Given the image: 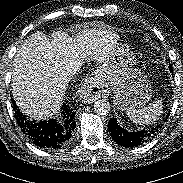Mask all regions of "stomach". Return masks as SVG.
Listing matches in <instances>:
<instances>
[{
    "instance_id": "0dacf381",
    "label": "stomach",
    "mask_w": 183,
    "mask_h": 183,
    "mask_svg": "<svg viewBox=\"0 0 183 183\" xmlns=\"http://www.w3.org/2000/svg\"><path fill=\"white\" fill-rule=\"evenodd\" d=\"M136 57L131 48L117 43L98 70L101 84L114 91V105L121 109L141 108L152 98L151 83L139 69L133 68Z\"/></svg>"
}]
</instances>
